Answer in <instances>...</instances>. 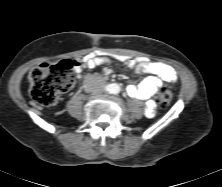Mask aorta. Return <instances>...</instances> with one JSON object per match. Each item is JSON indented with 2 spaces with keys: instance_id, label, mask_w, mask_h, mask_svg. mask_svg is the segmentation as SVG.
Listing matches in <instances>:
<instances>
[{
  "instance_id": "obj_1",
  "label": "aorta",
  "mask_w": 222,
  "mask_h": 187,
  "mask_svg": "<svg viewBox=\"0 0 222 187\" xmlns=\"http://www.w3.org/2000/svg\"><path fill=\"white\" fill-rule=\"evenodd\" d=\"M120 87L117 84H112L110 88V92L113 94L119 93Z\"/></svg>"
}]
</instances>
